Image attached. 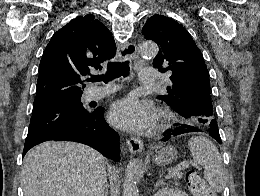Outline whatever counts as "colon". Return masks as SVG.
<instances>
[{
    "instance_id": "1",
    "label": "colon",
    "mask_w": 260,
    "mask_h": 196,
    "mask_svg": "<svg viewBox=\"0 0 260 196\" xmlns=\"http://www.w3.org/2000/svg\"><path fill=\"white\" fill-rule=\"evenodd\" d=\"M187 175L191 177V180L188 182L190 192H196L202 184L201 180L193 177L195 175L193 170L187 171Z\"/></svg>"
}]
</instances>
